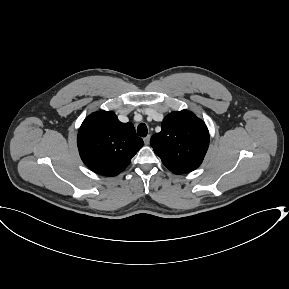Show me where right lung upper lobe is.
I'll return each mask as SVG.
<instances>
[{"mask_svg": "<svg viewBox=\"0 0 289 289\" xmlns=\"http://www.w3.org/2000/svg\"><path fill=\"white\" fill-rule=\"evenodd\" d=\"M77 144L82 161L93 172L115 176L130 164L143 140L132 123H121L113 112L99 111L84 120Z\"/></svg>", "mask_w": 289, "mask_h": 289, "instance_id": "cb5924a9", "label": "right lung upper lobe"}]
</instances>
